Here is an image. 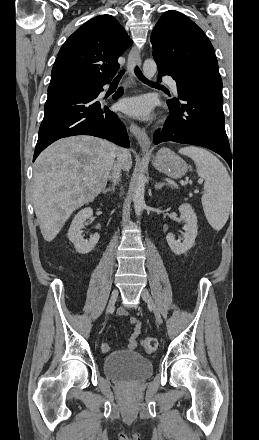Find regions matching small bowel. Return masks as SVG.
<instances>
[{
    "label": "small bowel",
    "mask_w": 259,
    "mask_h": 440,
    "mask_svg": "<svg viewBox=\"0 0 259 440\" xmlns=\"http://www.w3.org/2000/svg\"><path fill=\"white\" fill-rule=\"evenodd\" d=\"M125 315H126V312L124 309L121 308L118 310V313H117L118 317H124ZM129 324L133 326V333L129 339L128 348L133 349L136 346V338L141 331V323L137 318L131 317L129 319ZM108 349H109V347L107 344L102 345V350L108 351Z\"/></svg>",
    "instance_id": "1"
}]
</instances>
